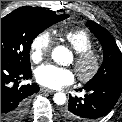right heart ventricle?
<instances>
[{"label": "right heart ventricle", "mask_w": 122, "mask_h": 122, "mask_svg": "<svg viewBox=\"0 0 122 122\" xmlns=\"http://www.w3.org/2000/svg\"><path fill=\"white\" fill-rule=\"evenodd\" d=\"M63 38L70 44L75 52H80L93 47V39L85 30L66 32Z\"/></svg>", "instance_id": "1"}]
</instances>
